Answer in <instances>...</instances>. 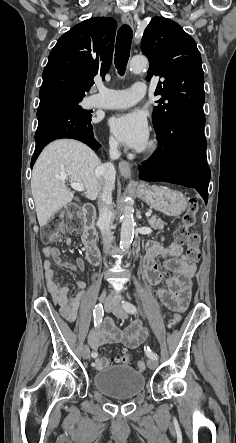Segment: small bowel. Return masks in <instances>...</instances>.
Wrapping results in <instances>:
<instances>
[{"label":"small bowel","mask_w":236,"mask_h":443,"mask_svg":"<svg viewBox=\"0 0 236 443\" xmlns=\"http://www.w3.org/2000/svg\"><path fill=\"white\" fill-rule=\"evenodd\" d=\"M64 243L71 245L70 238H65ZM44 253V274L46 286L52 295L54 302L60 307L61 313L69 321L76 317L81 301L86 295L87 285L81 279L74 281L80 289L75 296L69 297V287L61 286L54 280V266L71 270L84 271V264L80 257L76 263L61 259L60 250L57 247H45ZM163 261V266L157 262ZM196 271V265L186 255L183 248L172 243L164 246L157 242H149L147 254L143 261V277L152 284L160 288L155 295L160 304L172 311L183 312L187 309L191 298L192 278ZM147 337V331L142 327L140 321H136L127 331L115 329L110 317H105L98 327L91 332L89 344L96 350L107 343L121 342L130 349L137 348Z\"/></svg>","instance_id":"1"}]
</instances>
